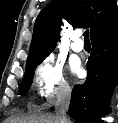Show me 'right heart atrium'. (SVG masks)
I'll list each match as a JSON object with an SVG mask.
<instances>
[{"mask_svg": "<svg viewBox=\"0 0 118 123\" xmlns=\"http://www.w3.org/2000/svg\"><path fill=\"white\" fill-rule=\"evenodd\" d=\"M34 85L47 105L70 93L63 65L52 55L45 57L35 68Z\"/></svg>", "mask_w": 118, "mask_h": 123, "instance_id": "right-heart-atrium-1", "label": "right heart atrium"}]
</instances>
